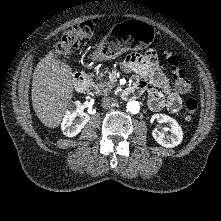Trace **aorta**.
I'll list each match as a JSON object with an SVG mask.
<instances>
[{
  "label": "aorta",
  "mask_w": 221,
  "mask_h": 221,
  "mask_svg": "<svg viewBox=\"0 0 221 221\" xmlns=\"http://www.w3.org/2000/svg\"><path fill=\"white\" fill-rule=\"evenodd\" d=\"M127 110L133 114H136L140 110V105L138 101L132 100L127 103Z\"/></svg>",
  "instance_id": "762f6f07"
}]
</instances>
